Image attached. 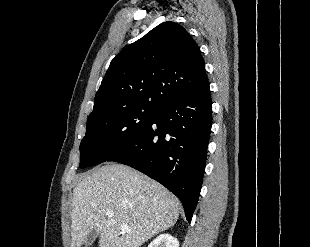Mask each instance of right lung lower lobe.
Returning <instances> with one entry per match:
<instances>
[{
  "instance_id": "right-lung-lower-lobe-1",
  "label": "right lung lower lobe",
  "mask_w": 310,
  "mask_h": 247,
  "mask_svg": "<svg viewBox=\"0 0 310 247\" xmlns=\"http://www.w3.org/2000/svg\"><path fill=\"white\" fill-rule=\"evenodd\" d=\"M212 125L209 82L163 104L135 141L107 161L148 175L182 202L188 222L199 198Z\"/></svg>"
}]
</instances>
